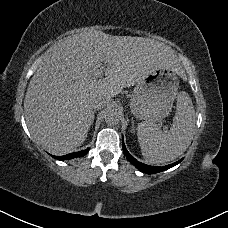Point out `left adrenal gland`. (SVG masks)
<instances>
[{
	"instance_id": "left-adrenal-gland-1",
	"label": "left adrenal gland",
	"mask_w": 228,
	"mask_h": 228,
	"mask_svg": "<svg viewBox=\"0 0 228 228\" xmlns=\"http://www.w3.org/2000/svg\"><path fill=\"white\" fill-rule=\"evenodd\" d=\"M131 122H132V126L134 127V120H133V117L131 119Z\"/></svg>"
}]
</instances>
